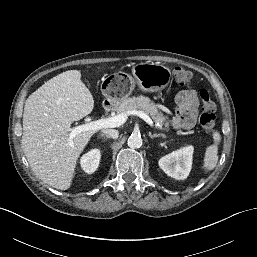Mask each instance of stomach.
Returning <instances> with one entry per match:
<instances>
[{
  "label": "stomach",
  "instance_id": "stomach-1",
  "mask_svg": "<svg viewBox=\"0 0 257 257\" xmlns=\"http://www.w3.org/2000/svg\"><path fill=\"white\" fill-rule=\"evenodd\" d=\"M130 75H111L101 84V92L105 97L103 105L116 107L134 90L135 84L144 92H158L171 81V71L159 63L140 62L132 66Z\"/></svg>",
  "mask_w": 257,
  "mask_h": 257
}]
</instances>
